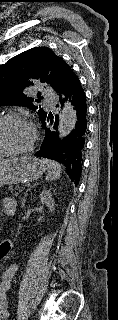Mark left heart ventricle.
Instances as JSON below:
<instances>
[{
  "instance_id": "obj_1",
  "label": "left heart ventricle",
  "mask_w": 118,
  "mask_h": 320,
  "mask_svg": "<svg viewBox=\"0 0 118 320\" xmlns=\"http://www.w3.org/2000/svg\"><path fill=\"white\" fill-rule=\"evenodd\" d=\"M32 140L30 126L22 121L12 120L0 125V143L8 149H21Z\"/></svg>"
}]
</instances>
